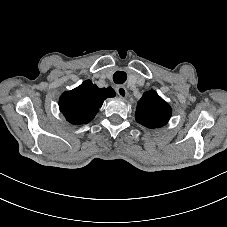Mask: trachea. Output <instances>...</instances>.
I'll list each match as a JSON object with an SVG mask.
<instances>
[{"label": "trachea", "instance_id": "trachea-1", "mask_svg": "<svg viewBox=\"0 0 227 227\" xmlns=\"http://www.w3.org/2000/svg\"><path fill=\"white\" fill-rule=\"evenodd\" d=\"M127 79V74L123 71H116L113 74V81L117 84H123Z\"/></svg>", "mask_w": 227, "mask_h": 227}]
</instances>
